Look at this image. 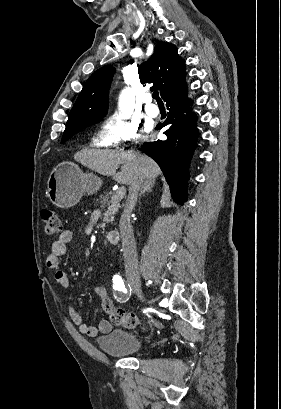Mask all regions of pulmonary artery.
Returning <instances> with one entry per match:
<instances>
[{"mask_svg": "<svg viewBox=\"0 0 281 409\" xmlns=\"http://www.w3.org/2000/svg\"><path fill=\"white\" fill-rule=\"evenodd\" d=\"M146 111L149 116L157 118L160 115L159 109H157V104L155 102H148L146 104Z\"/></svg>", "mask_w": 281, "mask_h": 409, "instance_id": "pulmonary-artery-1", "label": "pulmonary artery"}]
</instances>
